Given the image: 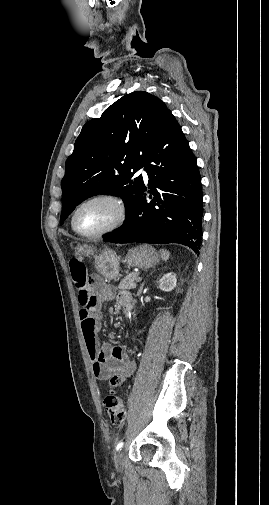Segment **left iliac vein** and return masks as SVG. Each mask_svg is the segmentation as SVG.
Masks as SVG:
<instances>
[{
    "label": "left iliac vein",
    "instance_id": "left-iliac-vein-1",
    "mask_svg": "<svg viewBox=\"0 0 269 505\" xmlns=\"http://www.w3.org/2000/svg\"><path fill=\"white\" fill-rule=\"evenodd\" d=\"M115 467L117 470H122L124 466V453L123 451L118 452L114 457Z\"/></svg>",
    "mask_w": 269,
    "mask_h": 505
}]
</instances>
